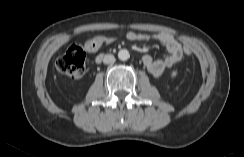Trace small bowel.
I'll use <instances>...</instances> for the list:
<instances>
[{"label": "small bowel", "mask_w": 244, "mask_h": 157, "mask_svg": "<svg viewBox=\"0 0 244 157\" xmlns=\"http://www.w3.org/2000/svg\"><path fill=\"white\" fill-rule=\"evenodd\" d=\"M130 41L156 40L160 42L167 50V55L163 59L156 60L151 55L143 57V63L148 72L154 77H160L164 72L179 62L183 57V49L179 41L171 34L160 32L156 34H142L137 32H128L126 35Z\"/></svg>", "instance_id": "small-bowel-1"}]
</instances>
